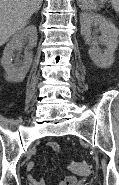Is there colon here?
Instances as JSON below:
<instances>
[{"mask_svg":"<svg viewBox=\"0 0 119 185\" xmlns=\"http://www.w3.org/2000/svg\"><path fill=\"white\" fill-rule=\"evenodd\" d=\"M68 169L80 176H88L91 173L90 166L84 162H78L75 160H70L68 163Z\"/></svg>","mask_w":119,"mask_h":185,"instance_id":"obj_1","label":"colon"}]
</instances>
